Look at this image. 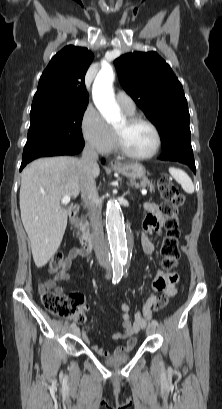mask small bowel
<instances>
[{
  "label": "small bowel",
  "instance_id": "obj_1",
  "mask_svg": "<svg viewBox=\"0 0 222 409\" xmlns=\"http://www.w3.org/2000/svg\"><path fill=\"white\" fill-rule=\"evenodd\" d=\"M144 209L147 215L143 223L141 244L144 252L150 255L155 249L152 236L161 231L164 217L159 205L155 202H146ZM85 257L86 253L81 248L74 247L70 249L65 258V268L40 284L39 291L43 292L45 290L54 289L55 291L63 293L64 285H62L61 282L71 280V276L68 273L69 268L75 260ZM178 281L179 276L176 272L168 273L159 270L153 283V291L147 296L141 309L136 312L134 320H131L130 317V306L125 302H121L119 305L122 317L121 330L113 332L112 338L114 340L126 339V343L117 347L115 350L104 349L97 346H94L93 350L102 356H109L112 353L131 350L137 342L135 335L145 327L152 317V306L157 303L162 296H175L177 294ZM85 310L87 309L85 308ZM83 338L85 340L88 339L86 335H83Z\"/></svg>",
  "mask_w": 222,
  "mask_h": 409
}]
</instances>
